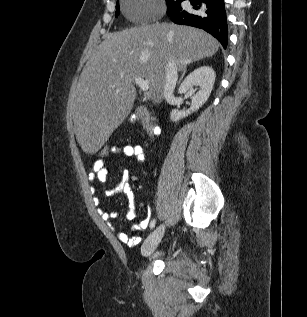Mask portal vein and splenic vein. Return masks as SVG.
<instances>
[{"label":"portal vein and splenic vein","instance_id":"obj_1","mask_svg":"<svg viewBox=\"0 0 307 317\" xmlns=\"http://www.w3.org/2000/svg\"><path fill=\"white\" fill-rule=\"evenodd\" d=\"M135 83L140 87L144 92H147L149 89V81L142 78H135Z\"/></svg>","mask_w":307,"mask_h":317}]
</instances>
